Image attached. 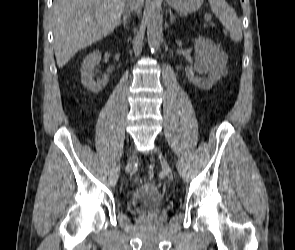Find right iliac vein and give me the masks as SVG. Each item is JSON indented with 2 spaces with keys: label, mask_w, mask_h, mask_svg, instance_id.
Wrapping results in <instances>:
<instances>
[{
  "label": "right iliac vein",
  "mask_w": 295,
  "mask_h": 250,
  "mask_svg": "<svg viewBox=\"0 0 295 250\" xmlns=\"http://www.w3.org/2000/svg\"><path fill=\"white\" fill-rule=\"evenodd\" d=\"M132 162H133V157H130L129 160H128V163H127V169H131L132 167Z\"/></svg>",
  "instance_id": "obj_1"
}]
</instances>
